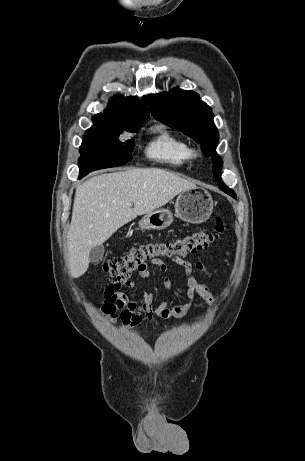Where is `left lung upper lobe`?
I'll return each instance as SVG.
<instances>
[{"instance_id": "5c2ea615", "label": "left lung upper lobe", "mask_w": 305, "mask_h": 461, "mask_svg": "<svg viewBox=\"0 0 305 461\" xmlns=\"http://www.w3.org/2000/svg\"><path fill=\"white\" fill-rule=\"evenodd\" d=\"M147 102L156 120L182 130L184 134L201 144L204 155L212 158L214 177L221 181L223 162L215 151L219 135L213 122L214 114L212 109L200 100L199 95L190 90L172 89L169 92L148 95ZM218 186L236 198L234 191L223 182H219Z\"/></svg>"}]
</instances>
